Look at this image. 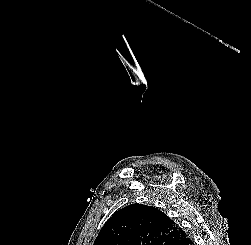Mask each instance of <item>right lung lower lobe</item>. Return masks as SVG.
Masks as SVG:
<instances>
[{
    "label": "right lung lower lobe",
    "mask_w": 251,
    "mask_h": 245,
    "mask_svg": "<svg viewBox=\"0 0 251 245\" xmlns=\"http://www.w3.org/2000/svg\"><path fill=\"white\" fill-rule=\"evenodd\" d=\"M173 245H193L192 240L185 234L183 238L173 243Z\"/></svg>",
    "instance_id": "98d812e1"
}]
</instances>
